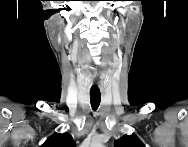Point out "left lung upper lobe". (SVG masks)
<instances>
[{
	"instance_id": "obj_1",
	"label": "left lung upper lobe",
	"mask_w": 188,
	"mask_h": 147,
	"mask_svg": "<svg viewBox=\"0 0 188 147\" xmlns=\"http://www.w3.org/2000/svg\"><path fill=\"white\" fill-rule=\"evenodd\" d=\"M115 147H144L143 143L134 134L124 135L120 140L115 141Z\"/></svg>"
}]
</instances>
